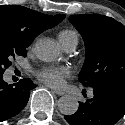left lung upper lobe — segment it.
Segmentation results:
<instances>
[{
    "label": "left lung upper lobe",
    "instance_id": "5c2ea615",
    "mask_svg": "<svg viewBox=\"0 0 125 125\" xmlns=\"http://www.w3.org/2000/svg\"><path fill=\"white\" fill-rule=\"evenodd\" d=\"M69 21L85 43L86 60L79 81L86 87L125 84V26L95 14L71 15Z\"/></svg>",
    "mask_w": 125,
    "mask_h": 125
}]
</instances>
